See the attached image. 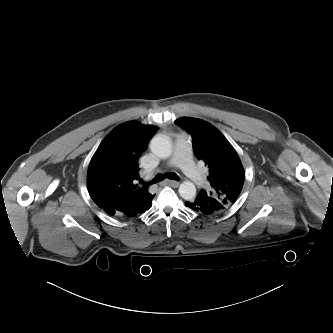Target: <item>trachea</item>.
Listing matches in <instances>:
<instances>
[{"label":"trachea","mask_w":333,"mask_h":333,"mask_svg":"<svg viewBox=\"0 0 333 333\" xmlns=\"http://www.w3.org/2000/svg\"><path fill=\"white\" fill-rule=\"evenodd\" d=\"M165 178L167 179H171V180H176L179 181V177L177 174L173 173V172H169V173H165L163 174H157L150 182L149 184H155L158 182L163 181Z\"/></svg>","instance_id":"1"}]
</instances>
